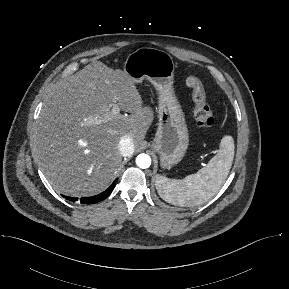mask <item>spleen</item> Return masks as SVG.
I'll return each mask as SVG.
<instances>
[{
  "instance_id": "obj_1",
  "label": "spleen",
  "mask_w": 289,
  "mask_h": 289,
  "mask_svg": "<svg viewBox=\"0 0 289 289\" xmlns=\"http://www.w3.org/2000/svg\"><path fill=\"white\" fill-rule=\"evenodd\" d=\"M234 140L226 135L222 138L218 153L206 167L182 180H171L157 175L156 189L168 203L193 207L210 200L222 187L234 159Z\"/></svg>"
}]
</instances>
